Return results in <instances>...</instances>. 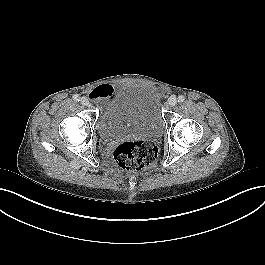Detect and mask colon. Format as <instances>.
<instances>
[{"instance_id":"obj_1","label":"colon","mask_w":265,"mask_h":265,"mask_svg":"<svg viewBox=\"0 0 265 265\" xmlns=\"http://www.w3.org/2000/svg\"><path fill=\"white\" fill-rule=\"evenodd\" d=\"M113 157L119 169L143 172L155 164L158 148L146 140L125 141L115 147Z\"/></svg>"}]
</instances>
